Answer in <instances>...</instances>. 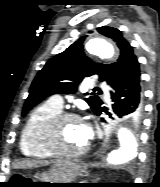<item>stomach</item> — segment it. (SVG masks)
I'll return each mask as SVG.
<instances>
[{"label": "stomach", "instance_id": "0dacf381", "mask_svg": "<svg viewBox=\"0 0 160 187\" xmlns=\"http://www.w3.org/2000/svg\"><path fill=\"white\" fill-rule=\"evenodd\" d=\"M82 166L75 160L62 159L54 162L52 167L37 177L38 186H51L50 183H72L81 172Z\"/></svg>", "mask_w": 160, "mask_h": 187}]
</instances>
